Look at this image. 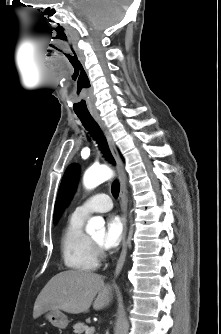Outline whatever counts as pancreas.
I'll return each instance as SVG.
<instances>
[{
    "mask_svg": "<svg viewBox=\"0 0 221 334\" xmlns=\"http://www.w3.org/2000/svg\"><path fill=\"white\" fill-rule=\"evenodd\" d=\"M89 327L87 325H85L84 323H77L73 326V332L76 333V334H82L84 332H86V330L88 329Z\"/></svg>",
    "mask_w": 221,
    "mask_h": 334,
    "instance_id": "obj_1",
    "label": "pancreas"
}]
</instances>
